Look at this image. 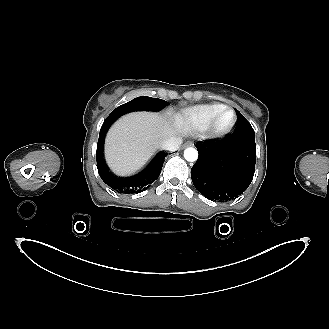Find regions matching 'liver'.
<instances>
[{
    "label": "liver",
    "instance_id": "6515ba94",
    "mask_svg": "<svg viewBox=\"0 0 329 329\" xmlns=\"http://www.w3.org/2000/svg\"><path fill=\"white\" fill-rule=\"evenodd\" d=\"M177 134L167 115L149 112L125 115L107 133V163L115 174L131 175L148 162L164 140Z\"/></svg>",
    "mask_w": 329,
    "mask_h": 329
}]
</instances>
